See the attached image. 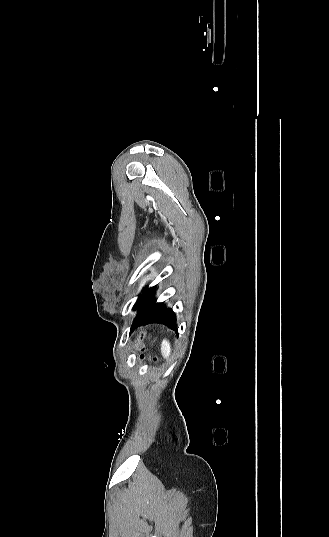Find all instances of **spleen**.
Returning a JSON list of instances; mask_svg holds the SVG:
<instances>
[{
  "mask_svg": "<svg viewBox=\"0 0 329 537\" xmlns=\"http://www.w3.org/2000/svg\"><path fill=\"white\" fill-rule=\"evenodd\" d=\"M161 353L164 358L168 359L171 353V345L167 339H163L161 344Z\"/></svg>",
  "mask_w": 329,
  "mask_h": 537,
  "instance_id": "3e777b00",
  "label": "spleen"
}]
</instances>
